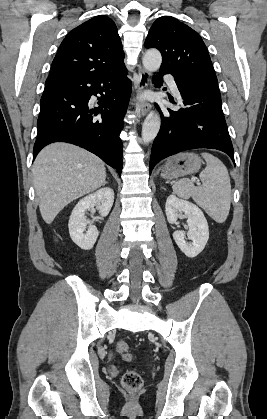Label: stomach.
Segmentation results:
<instances>
[{
    "label": "stomach",
    "mask_w": 267,
    "mask_h": 419,
    "mask_svg": "<svg viewBox=\"0 0 267 419\" xmlns=\"http://www.w3.org/2000/svg\"><path fill=\"white\" fill-rule=\"evenodd\" d=\"M203 163L198 154L192 152L180 153L169 158L164 165L161 177L173 180L181 176L197 172Z\"/></svg>",
    "instance_id": "1"
}]
</instances>
